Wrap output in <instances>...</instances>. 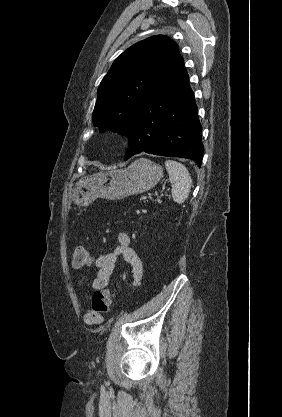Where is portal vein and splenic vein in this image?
Instances as JSON below:
<instances>
[{
  "label": "portal vein and splenic vein",
  "instance_id": "portal-vein-and-splenic-vein-1",
  "mask_svg": "<svg viewBox=\"0 0 282 417\" xmlns=\"http://www.w3.org/2000/svg\"><path fill=\"white\" fill-rule=\"evenodd\" d=\"M151 196H152L151 192H146L145 194H142L140 198H137V200L144 201L146 197H151Z\"/></svg>",
  "mask_w": 282,
  "mask_h": 417
}]
</instances>
